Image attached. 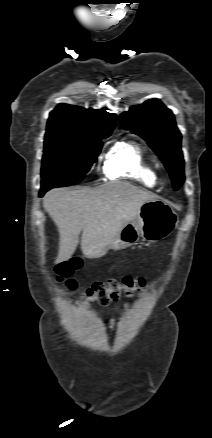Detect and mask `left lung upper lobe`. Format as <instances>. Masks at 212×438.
I'll return each mask as SVG.
<instances>
[{
  "instance_id": "obj_1",
  "label": "left lung upper lobe",
  "mask_w": 212,
  "mask_h": 438,
  "mask_svg": "<svg viewBox=\"0 0 212 438\" xmlns=\"http://www.w3.org/2000/svg\"><path fill=\"white\" fill-rule=\"evenodd\" d=\"M121 128L143 137L167 168L177 190L184 182L181 133L173 113L159 99L133 106L120 116Z\"/></svg>"
}]
</instances>
